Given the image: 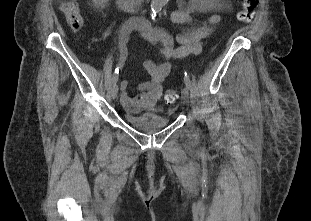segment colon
Returning <instances> with one entry per match:
<instances>
[{
	"label": "colon",
	"mask_w": 311,
	"mask_h": 221,
	"mask_svg": "<svg viewBox=\"0 0 311 221\" xmlns=\"http://www.w3.org/2000/svg\"><path fill=\"white\" fill-rule=\"evenodd\" d=\"M241 1L243 2V9L237 15L238 21L243 24H249L253 21L254 14L258 6V0ZM60 6L69 27L73 31L80 30L83 24V15L77 2L75 0H62L60 2ZM178 96V88L168 87L164 92V102L166 104H173L178 99Z\"/></svg>",
	"instance_id": "5ec220e1"
}]
</instances>
